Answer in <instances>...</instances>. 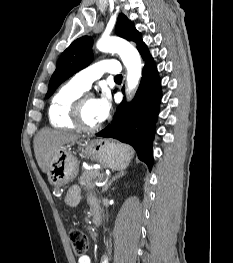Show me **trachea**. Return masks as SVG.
<instances>
[{"mask_svg": "<svg viewBox=\"0 0 233 263\" xmlns=\"http://www.w3.org/2000/svg\"><path fill=\"white\" fill-rule=\"evenodd\" d=\"M115 81H122V75L115 76Z\"/></svg>", "mask_w": 233, "mask_h": 263, "instance_id": "obj_1", "label": "trachea"}]
</instances>
